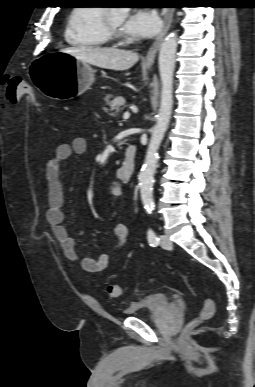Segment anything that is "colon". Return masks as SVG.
I'll list each match as a JSON object with an SVG mask.
<instances>
[{
    "instance_id": "5ec220e1",
    "label": "colon",
    "mask_w": 255,
    "mask_h": 387,
    "mask_svg": "<svg viewBox=\"0 0 255 387\" xmlns=\"http://www.w3.org/2000/svg\"><path fill=\"white\" fill-rule=\"evenodd\" d=\"M23 95H28L35 100V94L26 82L17 77L10 78L6 83L5 97L11 103H17ZM107 291L110 297L119 298L122 294V289L118 284L111 283L107 286ZM215 313V303L210 297L204 298L203 309L197 318L190 321L186 328L192 329L204 321L209 320Z\"/></svg>"
}]
</instances>
